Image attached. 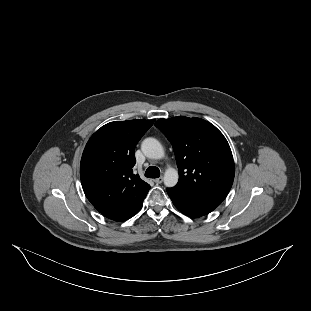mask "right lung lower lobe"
Returning <instances> with one entry per match:
<instances>
[{"label": "right lung lower lobe", "mask_w": 311, "mask_h": 311, "mask_svg": "<svg viewBox=\"0 0 311 311\" xmlns=\"http://www.w3.org/2000/svg\"><path fill=\"white\" fill-rule=\"evenodd\" d=\"M142 205H143V202H142V204L140 205L139 209L136 211V213L141 209ZM136 213H135V214H136ZM135 214H134V215H135ZM134 215H133V216H134Z\"/></svg>", "instance_id": "98d812e1"}]
</instances>
